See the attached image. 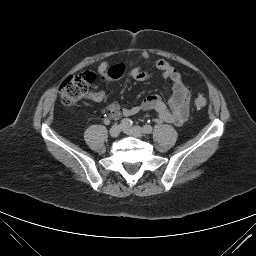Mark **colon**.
Listing matches in <instances>:
<instances>
[{"mask_svg": "<svg viewBox=\"0 0 256 256\" xmlns=\"http://www.w3.org/2000/svg\"><path fill=\"white\" fill-rule=\"evenodd\" d=\"M95 78L96 76L91 72H85L67 77L59 88L62 102L68 106L77 104L88 94L89 88L95 81ZM206 105L207 99L205 97L196 98V108L202 109Z\"/></svg>", "mask_w": 256, "mask_h": 256, "instance_id": "obj_1", "label": "colon"}]
</instances>
